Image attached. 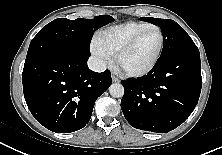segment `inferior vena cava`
<instances>
[{
	"instance_id": "602c4592",
	"label": "inferior vena cava",
	"mask_w": 222,
	"mask_h": 155,
	"mask_svg": "<svg viewBox=\"0 0 222 155\" xmlns=\"http://www.w3.org/2000/svg\"><path fill=\"white\" fill-rule=\"evenodd\" d=\"M88 67L92 70V71H95V72H103L106 70V64L105 62L98 58V57H94V56H91L89 59H88Z\"/></svg>"
}]
</instances>
